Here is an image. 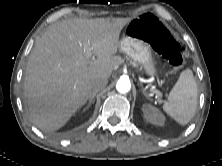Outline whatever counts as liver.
I'll return each mask as SVG.
<instances>
[{
	"label": "liver",
	"mask_w": 222,
	"mask_h": 166,
	"mask_svg": "<svg viewBox=\"0 0 222 166\" xmlns=\"http://www.w3.org/2000/svg\"><path fill=\"white\" fill-rule=\"evenodd\" d=\"M130 18H73L58 22L36 41L24 81L31 121L44 132L63 127L92 94L96 79H108L123 63L120 33ZM90 48V54L87 53ZM97 58L91 60V55Z\"/></svg>",
	"instance_id": "6515ba94"
}]
</instances>
